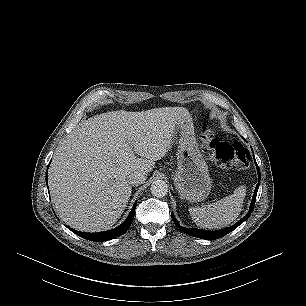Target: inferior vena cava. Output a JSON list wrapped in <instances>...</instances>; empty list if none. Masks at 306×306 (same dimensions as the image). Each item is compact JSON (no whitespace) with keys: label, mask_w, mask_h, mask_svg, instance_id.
<instances>
[{"label":"inferior vena cava","mask_w":306,"mask_h":306,"mask_svg":"<svg viewBox=\"0 0 306 306\" xmlns=\"http://www.w3.org/2000/svg\"><path fill=\"white\" fill-rule=\"evenodd\" d=\"M146 180V176L144 173L140 171H135L130 174L129 176V183L131 185H140Z\"/></svg>","instance_id":"obj_1"}]
</instances>
